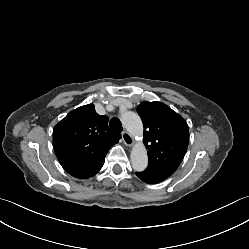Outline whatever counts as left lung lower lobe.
<instances>
[{
    "instance_id": "left-lung-lower-lobe-1",
    "label": "left lung lower lobe",
    "mask_w": 249,
    "mask_h": 249,
    "mask_svg": "<svg viewBox=\"0 0 249 249\" xmlns=\"http://www.w3.org/2000/svg\"><path fill=\"white\" fill-rule=\"evenodd\" d=\"M136 175L144 182L149 184L159 183L165 180L167 177L163 175L156 174L154 172L144 170L142 172H136Z\"/></svg>"
}]
</instances>
